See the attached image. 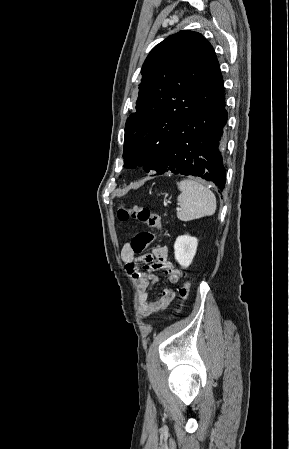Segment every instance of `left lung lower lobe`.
I'll return each mask as SVG.
<instances>
[{"mask_svg":"<svg viewBox=\"0 0 289 449\" xmlns=\"http://www.w3.org/2000/svg\"><path fill=\"white\" fill-rule=\"evenodd\" d=\"M227 111L224 83L216 59L195 98L191 111L179 122L167 145V155L157 169V175H193L225 187L223 164L224 130Z\"/></svg>","mask_w":289,"mask_h":449,"instance_id":"left-lung-lower-lobe-1","label":"left lung lower lobe"}]
</instances>
